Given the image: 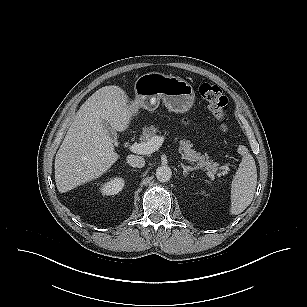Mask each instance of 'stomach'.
Returning <instances> with one entry per match:
<instances>
[{
	"label": "stomach",
	"mask_w": 307,
	"mask_h": 307,
	"mask_svg": "<svg viewBox=\"0 0 307 307\" xmlns=\"http://www.w3.org/2000/svg\"><path fill=\"white\" fill-rule=\"evenodd\" d=\"M135 99L129 104L133 116L140 108L154 111L160 100L165 107L175 113L188 112L195 100L193 87L186 80L158 72L140 76L134 84Z\"/></svg>",
	"instance_id": "1"
}]
</instances>
